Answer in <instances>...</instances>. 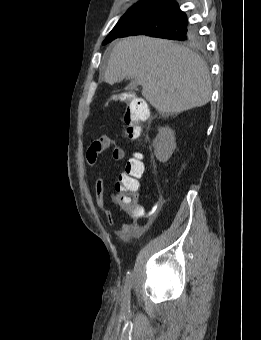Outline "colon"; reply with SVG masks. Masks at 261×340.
<instances>
[{"label": "colon", "mask_w": 261, "mask_h": 340, "mask_svg": "<svg viewBox=\"0 0 261 340\" xmlns=\"http://www.w3.org/2000/svg\"><path fill=\"white\" fill-rule=\"evenodd\" d=\"M147 104L137 98H128L124 104L123 121L126 133L131 139H137L143 131V122L148 118ZM144 173L142 155L137 153L126 164L125 174L119 177L113 195L114 202L131 214L140 212V207L133 201L132 193L138 188V179Z\"/></svg>", "instance_id": "5ec220e1"}]
</instances>
